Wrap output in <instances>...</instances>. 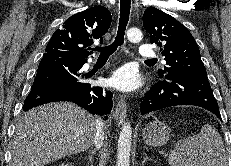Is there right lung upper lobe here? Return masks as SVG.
<instances>
[{"label": "right lung upper lobe", "instance_id": "1", "mask_svg": "<svg viewBox=\"0 0 231 166\" xmlns=\"http://www.w3.org/2000/svg\"><path fill=\"white\" fill-rule=\"evenodd\" d=\"M111 23V13L104 6H95L68 18L52 35L44 55L70 60H87L94 39L103 42Z\"/></svg>", "mask_w": 231, "mask_h": 166}]
</instances>
